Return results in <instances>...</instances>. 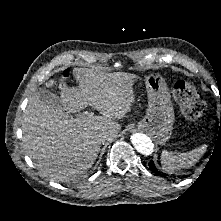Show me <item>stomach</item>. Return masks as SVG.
Segmentation results:
<instances>
[{
	"instance_id": "1",
	"label": "stomach",
	"mask_w": 221,
	"mask_h": 221,
	"mask_svg": "<svg viewBox=\"0 0 221 221\" xmlns=\"http://www.w3.org/2000/svg\"><path fill=\"white\" fill-rule=\"evenodd\" d=\"M148 108L138 129L149 133L157 143L165 144L172 134L174 110L167 84L160 74H150L145 79Z\"/></svg>"
}]
</instances>
